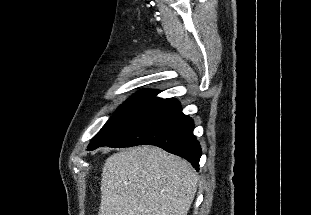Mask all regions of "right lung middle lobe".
<instances>
[{"label":"right lung middle lobe","mask_w":311,"mask_h":215,"mask_svg":"<svg viewBox=\"0 0 311 215\" xmlns=\"http://www.w3.org/2000/svg\"><path fill=\"white\" fill-rule=\"evenodd\" d=\"M157 90H142L131 96L94 136L88 150L113 143L123 137L160 102Z\"/></svg>","instance_id":"dd1d6c3e"}]
</instances>
